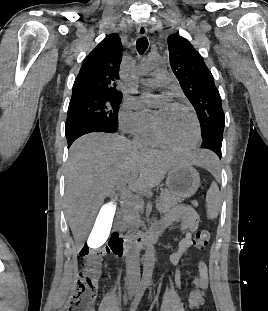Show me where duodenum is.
<instances>
[{"mask_svg":"<svg viewBox=\"0 0 268 311\" xmlns=\"http://www.w3.org/2000/svg\"><path fill=\"white\" fill-rule=\"evenodd\" d=\"M161 232V230L153 229L148 233L126 238L117 229H114L108 239V248L113 254L123 256L143 246L153 244L160 237Z\"/></svg>","mask_w":268,"mask_h":311,"instance_id":"obj_1","label":"duodenum"}]
</instances>
